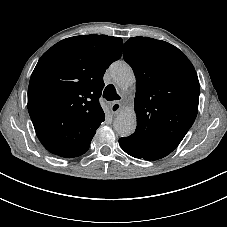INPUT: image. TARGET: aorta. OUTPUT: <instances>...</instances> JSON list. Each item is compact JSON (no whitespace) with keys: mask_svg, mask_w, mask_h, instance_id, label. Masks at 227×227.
Wrapping results in <instances>:
<instances>
[{"mask_svg":"<svg viewBox=\"0 0 227 227\" xmlns=\"http://www.w3.org/2000/svg\"><path fill=\"white\" fill-rule=\"evenodd\" d=\"M110 75L113 81L122 89H128L135 83L132 68L123 61H116L110 66ZM115 132L121 137L130 136L136 128V114L133 109L121 111L114 123Z\"/></svg>","mask_w":227,"mask_h":227,"instance_id":"1","label":"aorta"}]
</instances>
